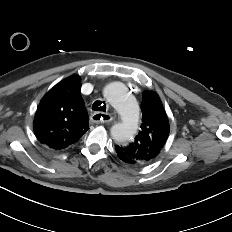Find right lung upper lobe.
Here are the masks:
<instances>
[{"label":"right lung upper lobe","mask_w":232,"mask_h":232,"mask_svg":"<svg viewBox=\"0 0 232 232\" xmlns=\"http://www.w3.org/2000/svg\"><path fill=\"white\" fill-rule=\"evenodd\" d=\"M80 91V77L73 75L44 95L33 121L34 134L40 143L62 150L88 131L89 118Z\"/></svg>","instance_id":"right-lung-upper-lobe-1"}]
</instances>
